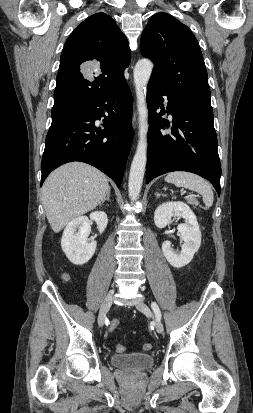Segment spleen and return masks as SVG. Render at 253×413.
<instances>
[{"label":"spleen","instance_id":"obj_1","mask_svg":"<svg viewBox=\"0 0 253 413\" xmlns=\"http://www.w3.org/2000/svg\"><path fill=\"white\" fill-rule=\"evenodd\" d=\"M166 182L175 184L177 187H184L199 193L203 198L206 208L213 204L214 195L210 184L202 177L184 171H175L165 177Z\"/></svg>","mask_w":253,"mask_h":413}]
</instances>
